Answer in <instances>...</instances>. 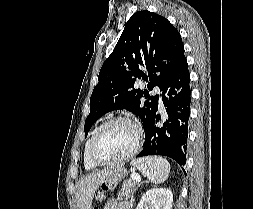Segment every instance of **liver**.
I'll use <instances>...</instances> for the list:
<instances>
[{"instance_id":"obj_1","label":"liver","mask_w":253,"mask_h":209,"mask_svg":"<svg viewBox=\"0 0 253 209\" xmlns=\"http://www.w3.org/2000/svg\"><path fill=\"white\" fill-rule=\"evenodd\" d=\"M118 168L109 167L82 177L77 184V207L78 209H92V200L99 186Z\"/></svg>"}]
</instances>
